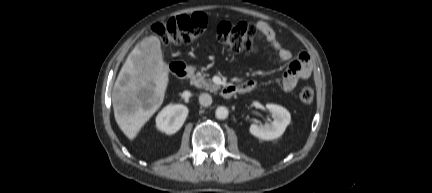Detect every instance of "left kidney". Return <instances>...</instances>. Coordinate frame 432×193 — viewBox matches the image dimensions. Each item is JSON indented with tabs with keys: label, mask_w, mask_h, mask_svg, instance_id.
I'll return each mask as SVG.
<instances>
[{
	"label": "left kidney",
	"mask_w": 432,
	"mask_h": 193,
	"mask_svg": "<svg viewBox=\"0 0 432 193\" xmlns=\"http://www.w3.org/2000/svg\"><path fill=\"white\" fill-rule=\"evenodd\" d=\"M266 108L271 112L274 119L270 124L258 126L252 124L250 133L263 140H273L280 137L286 127L290 124L291 115L287 109L276 104H267Z\"/></svg>",
	"instance_id": "5707ae66"
}]
</instances>
